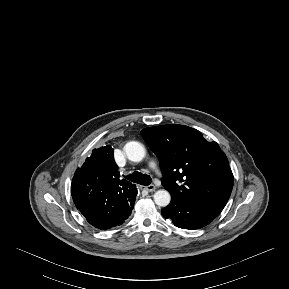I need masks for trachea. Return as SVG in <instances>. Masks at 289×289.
I'll return each mask as SVG.
<instances>
[{"label":"trachea","mask_w":289,"mask_h":289,"mask_svg":"<svg viewBox=\"0 0 289 289\" xmlns=\"http://www.w3.org/2000/svg\"><path fill=\"white\" fill-rule=\"evenodd\" d=\"M128 180L141 184V185H150L152 182V179L149 175L147 174H142L141 172L135 171L130 175L125 176Z\"/></svg>","instance_id":"1"}]
</instances>
